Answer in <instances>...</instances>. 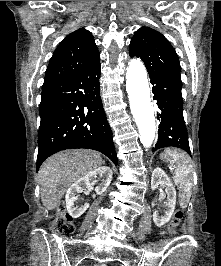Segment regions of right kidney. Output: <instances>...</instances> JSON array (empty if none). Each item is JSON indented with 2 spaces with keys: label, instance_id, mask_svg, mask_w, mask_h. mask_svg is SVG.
Listing matches in <instances>:
<instances>
[{
  "label": "right kidney",
  "instance_id": "1",
  "mask_svg": "<svg viewBox=\"0 0 221 266\" xmlns=\"http://www.w3.org/2000/svg\"><path fill=\"white\" fill-rule=\"evenodd\" d=\"M112 174V170L109 167H98L73 183L68 188L65 196L68 213L73 218L80 217L89 208V203L86 202L81 205L75 204L78 201L79 193L93 188V185L98 181H100V183L96 186L95 191L97 193L105 192L111 183Z\"/></svg>",
  "mask_w": 221,
  "mask_h": 266
}]
</instances>
